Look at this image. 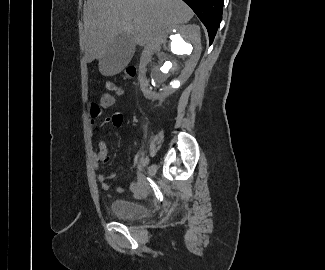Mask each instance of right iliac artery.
Wrapping results in <instances>:
<instances>
[{
    "instance_id": "1",
    "label": "right iliac artery",
    "mask_w": 325,
    "mask_h": 270,
    "mask_svg": "<svg viewBox=\"0 0 325 270\" xmlns=\"http://www.w3.org/2000/svg\"><path fill=\"white\" fill-rule=\"evenodd\" d=\"M148 162H149V159H148V158H143V159L141 160V165H142L143 167H146L147 164H148Z\"/></svg>"
}]
</instances>
